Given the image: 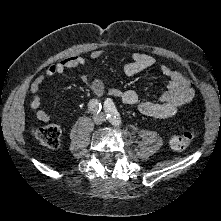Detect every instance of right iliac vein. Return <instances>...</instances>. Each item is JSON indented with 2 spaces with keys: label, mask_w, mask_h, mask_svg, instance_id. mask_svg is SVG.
I'll list each match as a JSON object with an SVG mask.
<instances>
[{
  "label": "right iliac vein",
  "mask_w": 221,
  "mask_h": 221,
  "mask_svg": "<svg viewBox=\"0 0 221 221\" xmlns=\"http://www.w3.org/2000/svg\"><path fill=\"white\" fill-rule=\"evenodd\" d=\"M93 121L96 125H99L103 122V115L102 114H96L93 117Z\"/></svg>",
  "instance_id": "obj_1"
}]
</instances>
